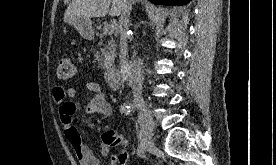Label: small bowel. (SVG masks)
<instances>
[{
  "instance_id": "small-bowel-1",
  "label": "small bowel",
  "mask_w": 276,
  "mask_h": 165,
  "mask_svg": "<svg viewBox=\"0 0 276 165\" xmlns=\"http://www.w3.org/2000/svg\"><path fill=\"white\" fill-rule=\"evenodd\" d=\"M82 88L90 94L89 99L84 105V111L90 115H101L109 117L112 114V107L106 99L99 83L95 81L86 82ZM81 95L78 87H64L62 85L54 87L52 99L57 106L59 121L63 128V134L81 165H99V160L90 147L82 140L77 128L73 124V115L79 109V104L74 99ZM104 156L109 154V146L104 142L100 146ZM128 153L120 151L113 153L109 157V165H126Z\"/></svg>"
}]
</instances>
